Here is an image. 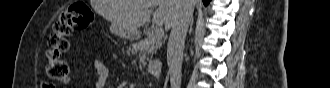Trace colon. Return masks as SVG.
Here are the masks:
<instances>
[{
	"mask_svg": "<svg viewBox=\"0 0 330 88\" xmlns=\"http://www.w3.org/2000/svg\"><path fill=\"white\" fill-rule=\"evenodd\" d=\"M93 12L83 1H78L66 8L56 20L53 33L48 38L46 66L47 76L57 82L66 83L70 80V66L63 58L69 48L67 36L74 28L87 29L93 22ZM52 86H47V88Z\"/></svg>",
	"mask_w": 330,
	"mask_h": 88,
	"instance_id": "obj_1",
	"label": "colon"
}]
</instances>
